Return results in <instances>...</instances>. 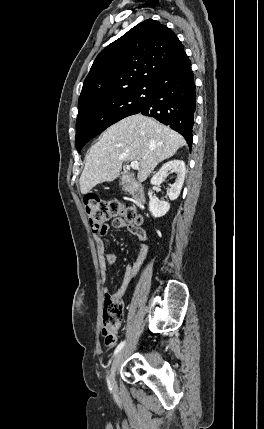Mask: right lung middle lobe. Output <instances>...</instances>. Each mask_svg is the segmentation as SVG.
Listing matches in <instances>:
<instances>
[{
	"label": "right lung middle lobe",
	"instance_id": "dd1d6c3e",
	"mask_svg": "<svg viewBox=\"0 0 264 429\" xmlns=\"http://www.w3.org/2000/svg\"><path fill=\"white\" fill-rule=\"evenodd\" d=\"M153 84L133 85L78 106L76 148L102 133L117 121L137 114L150 99Z\"/></svg>",
	"mask_w": 264,
	"mask_h": 429
}]
</instances>
